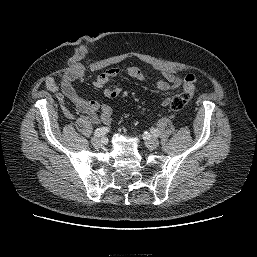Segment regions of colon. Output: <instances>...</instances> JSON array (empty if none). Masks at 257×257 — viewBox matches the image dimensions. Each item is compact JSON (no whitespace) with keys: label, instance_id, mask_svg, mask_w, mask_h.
Segmentation results:
<instances>
[{"label":"colon","instance_id":"1","mask_svg":"<svg viewBox=\"0 0 257 257\" xmlns=\"http://www.w3.org/2000/svg\"><path fill=\"white\" fill-rule=\"evenodd\" d=\"M196 92L195 86L184 89L182 92L175 94L170 100V108L178 111L184 108L193 98Z\"/></svg>","mask_w":257,"mask_h":257}]
</instances>
